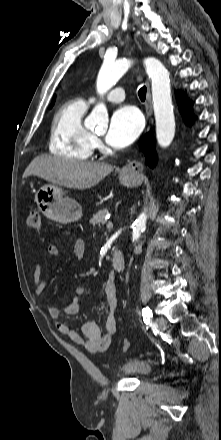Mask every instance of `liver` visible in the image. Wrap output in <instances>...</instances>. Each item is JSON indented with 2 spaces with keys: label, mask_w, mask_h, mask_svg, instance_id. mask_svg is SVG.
<instances>
[{
  "label": "liver",
  "mask_w": 221,
  "mask_h": 440,
  "mask_svg": "<svg viewBox=\"0 0 221 440\" xmlns=\"http://www.w3.org/2000/svg\"><path fill=\"white\" fill-rule=\"evenodd\" d=\"M112 170L113 166L107 163L74 161L41 155L29 164L23 178L34 175L55 185L84 190L98 184Z\"/></svg>",
  "instance_id": "1"
}]
</instances>
